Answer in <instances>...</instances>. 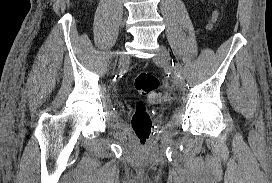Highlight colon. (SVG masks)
Instances as JSON below:
<instances>
[{
	"instance_id": "5ec220e1",
	"label": "colon",
	"mask_w": 272,
	"mask_h": 183,
	"mask_svg": "<svg viewBox=\"0 0 272 183\" xmlns=\"http://www.w3.org/2000/svg\"><path fill=\"white\" fill-rule=\"evenodd\" d=\"M134 87L138 93L152 102H166L169 99L167 94L157 92L159 80L150 72L139 73L134 79ZM131 127L139 143L145 145L151 135L152 121L143 101H139L136 105Z\"/></svg>"
}]
</instances>
